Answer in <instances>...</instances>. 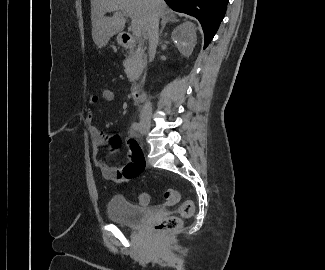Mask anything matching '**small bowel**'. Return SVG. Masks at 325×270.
Masks as SVG:
<instances>
[{
    "instance_id": "c3829d8e",
    "label": "small bowel",
    "mask_w": 325,
    "mask_h": 270,
    "mask_svg": "<svg viewBox=\"0 0 325 270\" xmlns=\"http://www.w3.org/2000/svg\"><path fill=\"white\" fill-rule=\"evenodd\" d=\"M111 89V88H105ZM97 95L89 97L90 104H96L99 101ZM86 125L90 134L92 144V156L94 164L100 169L102 176L110 182L123 184L142 173L145 163L141 153L133 141L127 142V155L131 160L129 164L112 165L106 163L100 155V148L109 143L110 153H114L121 145V138L118 135H106L98 129L95 123V116L92 110L87 112Z\"/></svg>"
}]
</instances>
